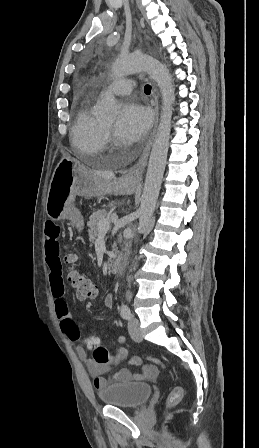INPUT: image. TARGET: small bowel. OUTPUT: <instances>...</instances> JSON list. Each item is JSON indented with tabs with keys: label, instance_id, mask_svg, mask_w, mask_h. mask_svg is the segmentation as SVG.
<instances>
[{
	"label": "small bowel",
	"instance_id": "c3829d8e",
	"mask_svg": "<svg viewBox=\"0 0 259 448\" xmlns=\"http://www.w3.org/2000/svg\"><path fill=\"white\" fill-rule=\"evenodd\" d=\"M60 228L53 222H48L45 226V261L49 269V280L52 295L54 297L55 313L60 323V328L67 335V337L74 341L79 342L82 340L80 330L71 318L68 304L64 296V284L61 272V261L59 256V238ZM107 307L112 308L113 297L108 295L105 299ZM78 356L84 361L90 375L94 378L93 385L97 390L105 388L109 381L103 376L108 372L113 363L99 364L88 357L86 350L82 346L77 347ZM120 355H126V350L121 349L118 353ZM132 364L139 366L141 372L133 373L131 370L124 368L113 374L112 380L116 382H131V381H146L156 377L157 369L152 365L143 364L142 361L134 357Z\"/></svg>",
	"mask_w": 259,
	"mask_h": 448
}]
</instances>
